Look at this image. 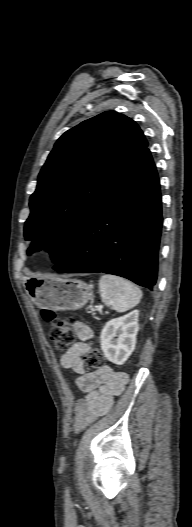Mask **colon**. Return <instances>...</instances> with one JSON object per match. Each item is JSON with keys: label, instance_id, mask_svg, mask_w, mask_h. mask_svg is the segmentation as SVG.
<instances>
[{"label": "colon", "instance_id": "1", "mask_svg": "<svg viewBox=\"0 0 192 527\" xmlns=\"http://www.w3.org/2000/svg\"><path fill=\"white\" fill-rule=\"evenodd\" d=\"M43 319L50 323L49 336L57 350H65L75 342L76 335L71 326L72 320L58 318L51 310H42ZM86 367L98 371L104 367V359L100 350L92 346L83 357Z\"/></svg>", "mask_w": 192, "mask_h": 527}]
</instances>
